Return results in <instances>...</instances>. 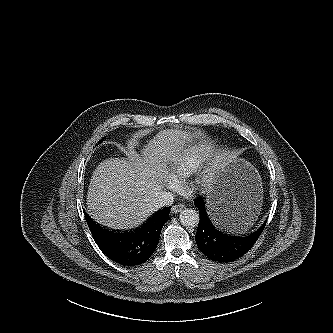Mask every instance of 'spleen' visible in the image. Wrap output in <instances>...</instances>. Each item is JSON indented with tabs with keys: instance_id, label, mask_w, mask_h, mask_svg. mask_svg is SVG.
<instances>
[{
	"instance_id": "1",
	"label": "spleen",
	"mask_w": 333,
	"mask_h": 333,
	"mask_svg": "<svg viewBox=\"0 0 333 333\" xmlns=\"http://www.w3.org/2000/svg\"><path fill=\"white\" fill-rule=\"evenodd\" d=\"M261 209V208H260ZM260 210H256L255 208L249 210L246 216L240 219H235L227 224V227L231 231L235 232H243L247 228L251 227L253 223L257 220Z\"/></svg>"
}]
</instances>
